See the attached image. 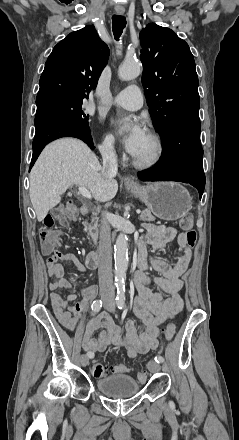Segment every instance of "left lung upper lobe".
Returning <instances> with one entry per match:
<instances>
[{"mask_svg": "<svg viewBox=\"0 0 239 440\" xmlns=\"http://www.w3.org/2000/svg\"><path fill=\"white\" fill-rule=\"evenodd\" d=\"M142 84L155 129L199 119L195 61L188 44L169 28L150 23L140 32Z\"/></svg>", "mask_w": 239, "mask_h": 440, "instance_id": "1", "label": "left lung upper lobe"}]
</instances>
